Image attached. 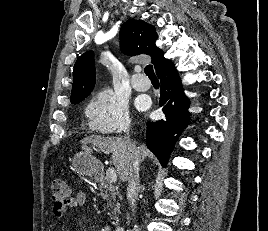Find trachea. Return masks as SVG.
<instances>
[{
	"label": "trachea",
	"instance_id": "3493384b",
	"mask_svg": "<svg viewBox=\"0 0 268 231\" xmlns=\"http://www.w3.org/2000/svg\"><path fill=\"white\" fill-rule=\"evenodd\" d=\"M144 72L149 78H157L154 71H153L152 65H147L144 69Z\"/></svg>",
	"mask_w": 268,
	"mask_h": 231
}]
</instances>
